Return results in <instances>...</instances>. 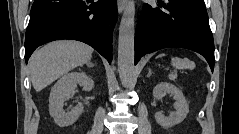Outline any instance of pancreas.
Returning a JSON list of instances; mask_svg holds the SVG:
<instances>
[{"mask_svg":"<svg viewBox=\"0 0 239 134\" xmlns=\"http://www.w3.org/2000/svg\"><path fill=\"white\" fill-rule=\"evenodd\" d=\"M170 78H171L172 80H175V79L177 78V75L172 74V75L170 76Z\"/></svg>","mask_w":239,"mask_h":134,"instance_id":"cf45deb5","label":"pancreas"}]
</instances>
